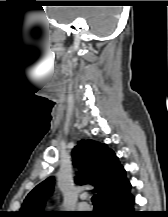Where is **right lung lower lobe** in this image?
Wrapping results in <instances>:
<instances>
[{
    "label": "right lung lower lobe",
    "instance_id": "98d812e1",
    "mask_svg": "<svg viewBox=\"0 0 168 217\" xmlns=\"http://www.w3.org/2000/svg\"><path fill=\"white\" fill-rule=\"evenodd\" d=\"M130 190L131 186L101 204L97 217H140L141 215L134 210V196Z\"/></svg>",
    "mask_w": 168,
    "mask_h": 217
}]
</instances>
